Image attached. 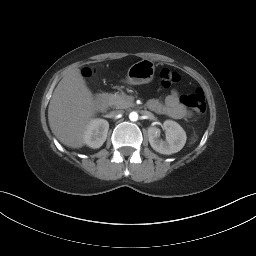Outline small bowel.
I'll return each mask as SVG.
<instances>
[{"label": "small bowel", "instance_id": "obj_1", "mask_svg": "<svg viewBox=\"0 0 256 256\" xmlns=\"http://www.w3.org/2000/svg\"><path fill=\"white\" fill-rule=\"evenodd\" d=\"M148 106L154 112L173 119H185L191 115L190 111L180 102L176 91H172L163 101L151 100Z\"/></svg>", "mask_w": 256, "mask_h": 256}]
</instances>
